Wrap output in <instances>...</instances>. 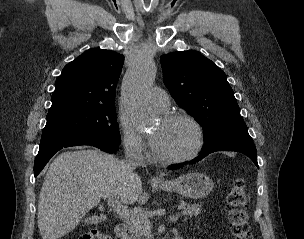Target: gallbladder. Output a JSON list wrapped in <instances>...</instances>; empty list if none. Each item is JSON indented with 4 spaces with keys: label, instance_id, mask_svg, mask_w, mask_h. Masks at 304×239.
Listing matches in <instances>:
<instances>
[{
    "label": "gallbladder",
    "instance_id": "1",
    "mask_svg": "<svg viewBox=\"0 0 304 239\" xmlns=\"http://www.w3.org/2000/svg\"><path fill=\"white\" fill-rule=\"evenodd\" d=\"M85 223H91V219H85V221H84Z\"/></svg>",
    "mask_w": 304,
    "mask_h": 239
}]
</instances>
